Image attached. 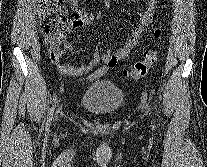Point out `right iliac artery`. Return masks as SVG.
<instances>
[{"instance_id": "obj_1", "label": "right iliac artery", "mask_w": 207, "mask_h": 167, "mask_svg": "<svg viewBox=\"0 0 207 167\" xmlns=\"http://www.w3.org/2000/svg\"><path fill=\"white\" fill-rule=\"evenodd\" d=\"M55 106H53L50 110V112L48 113V116H47V128L50 126L51 124V121H52V117H53V112H54V108Z\"/></svg>"}]
</instances>
